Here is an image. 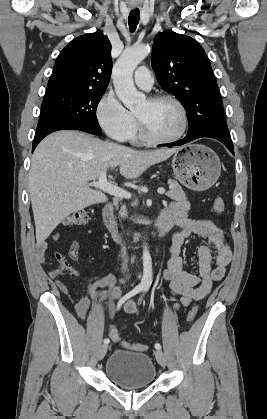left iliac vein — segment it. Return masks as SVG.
Masks as SVG:
<instances>
[{
	"mask_svg": "<svg viewBox=\"0 0 267 419\" xmlns=\"http://www.w3.org/2000/svg\"><path fill=\"white\" fill-rule=\"evenodd\" d=\"M155 357H156L158 363L161 366H165L166 365V357H165L164 353L161 350H156L155 351Z\"/></svg>",
	"mask_w": 267,
	"mask_h": 419,
	"instance_id": "left-iliac-vein-1",
	"label": "left iliac vein"
}]
</instances>
